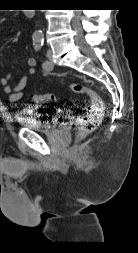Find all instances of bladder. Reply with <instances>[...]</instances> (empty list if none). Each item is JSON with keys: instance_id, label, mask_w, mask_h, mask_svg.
I'll use <instances>...</instances> for the list:
<instances>
[{"instance_id": "bladder-1", "label": "bladder", "mask_w": 138, "mask_h": 253, "mask_svg": "<svg viewBox=\"0 0 138 253\" xmlns=\"http://www.w3.org/2000/svg\"><path fill=\"white\" fill-rule=\"evenodd\" d=\"M43 108L32 107L21 113L20 124L27 129L41 133H52L62 125L52 114L43 113Z\"/></svg>"}]
</instances>
